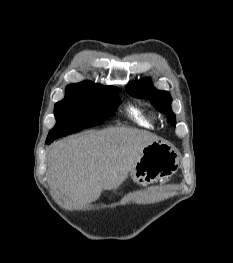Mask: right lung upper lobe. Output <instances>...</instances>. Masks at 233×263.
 Listing matches in <instances>:
<instances>
[{"mask_svg":"<svg viewBox=\"0 0 233 263\" xmlns=\"http://www.w3.org/2000/svg\"><path fill=\"white\" fill-rule=\"evenodd\" d=\"M113 89H118L112 86H104L101 84H95L91 81H83L76 84H70L66 88L65 97L73 96H97L108 93Z\"/></svg>","mask_w":233,"mask_h":263,"instance_id":"cb5924a9","label":"right lung upper lobe"}]
</instances>
